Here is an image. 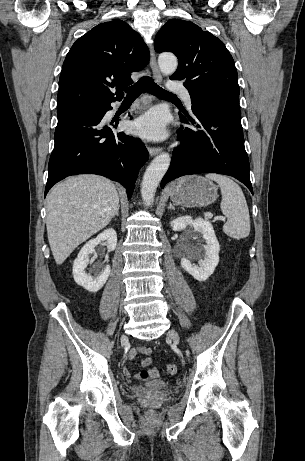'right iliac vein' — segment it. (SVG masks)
Returning <instances> with one entry per match:
<instances>
[{"label": "right iliac vein", "mask_w": 305, "mask_h": 461, "mask_svg": "<svg viewBox=\"0 0 305 461\" xmlns=\"http://www.w3.org/2000/svg\"><path fill=\"white\" fill-rule=\"evenodd\" d=\"M126 340H127V336L123 334L121 336V342H125Z\"/></svg>", "instance_id": "1"}]
</instances>
